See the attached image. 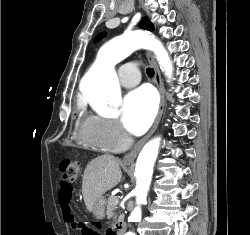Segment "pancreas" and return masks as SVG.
<instances>
[{
  "instance_id": "pancreas-1",
  "label": "pancreas",
  "mask_w": 250,
  "mask_h": 235,
  "mask_svg": "<svg viewBox=\"0 0 250 235\" xmlns=\"http://www.w3.org/2000/svg\"><path fill=\"white\" fill-rule=\"evenodd\" d=\"M118 201V197H109L108 199V203H107V217L108 219H113L114 221L117 220V214L115 213V210H116V206H117V202ZM123 215H121L118 220H122L123 219Z\"/></svg>"
}]
</instances>
